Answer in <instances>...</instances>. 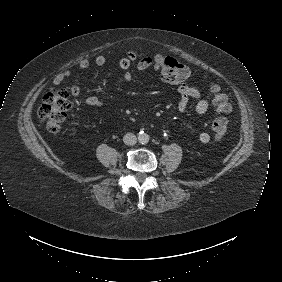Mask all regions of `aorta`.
I'll list each match as a JSON object with an SVG mask.
<instances>
[{"label": "aorta", "mask_w": 282, "mask_h": 282, "mask_svg": "<svg viewBox=\"0 0 282 282\" xmlns=\"http://www.w3.org/2000/svg\"><path fill=\"white\" fill-rule=\"evenodd\" d=\"M137 140L140 144L145 145L150 140V135L145 132H140L137 136Z\"/></svg>", "instance_id": "762f6f07"}]
</instances>
